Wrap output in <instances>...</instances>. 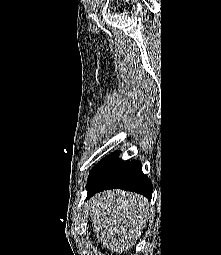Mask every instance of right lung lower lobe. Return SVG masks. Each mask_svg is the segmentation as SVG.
<instances>
[{
	"mask_svg": "<svg viewBox=\"0 0 221 255\" xmlns=\"http://www.w3.org/2000/svg\"><path fill=\"white\" fill-rule=\"evenodd\" d=\"M119 151L102 159L91 170L88 178V196L94 193L120 188L140 193L151 199L153 186L151 180L145 176L139 161H122L118 159Z\"/></svg>",
	"mask_w": 221,
	"mask_h": 255,
	"instance_id": "98d812e1",
	"label": "right lung lower lobe"
}]
</instances>
